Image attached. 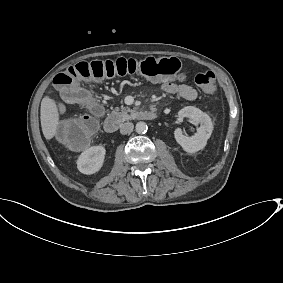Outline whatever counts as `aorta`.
I'll return each mask as SVG.
<instances>
[{"label":"aorta","instance_id":"1","mask_svg":"<svg viewBox=\"0 0 283 283\" xmlns=\"http://www.w3.org/2000/svg\"><path fill=\"white\" fill-rule=\"evenodd\" d=\"M135 129H136L137 133L144 134V133L147 132L148 127H147V124L145 122L140 121L136 124Z\"/></svg>","mask_w":283,"mask_h":283}]
</instances>
